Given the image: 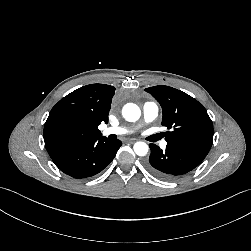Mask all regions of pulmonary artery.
I'll return each instance as SVG.
<instances>
[{"label":"pulmonary artery","instance_id":"obj_1","mask_svg":"<svg viewBox=\"0 0 251 251\" xmlns=\"http://www.w3.org/2000/svg\"><path fill=\"white\" fill-rule=\"evenodd\" d=\"M142 114H143V122L150 123L154 121L158 116V106L154 102H146L143 105ZM130 131L131 130L126 127H106L102 130V134L104 136H108L111 134L121 135V134H126ZM161 145L162 147H165L167 145V142L163 141Z\"/></svg>","mask_w":251,"mask_h":251}]
</instances>
